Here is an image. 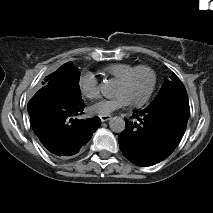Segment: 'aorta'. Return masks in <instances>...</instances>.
<instances>
[{
	"label": "aorta",
	"instance_id": "1",
	"mask_svg": "<svg viewBox=\"0 0 213 213\" xmlns=\"http://www.w3.org/2000/svg\"><path fill=\"white\" fill-rule=\"evenodd\" d=\"M112 87L109 82L101 84V91L104 94H110ZM109 128L112 132L121 133L125 130V121L122 117L114 116L109 119Z\"/></svg>",
	"mask_w": 213,
	"mask_h": 213
}]
</instances>
